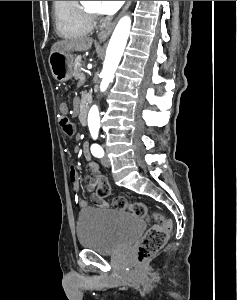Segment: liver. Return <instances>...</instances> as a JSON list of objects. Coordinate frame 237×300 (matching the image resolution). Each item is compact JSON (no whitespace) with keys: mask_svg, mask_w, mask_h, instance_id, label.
I'll use <instances>...</instances> for the list:
<instances>
[{"mask_svg":"<svg viewBox=\"0 0 237 300\" xmlns=\"http://www.w3.org/2000/svg\"><path fill=\"white\" fill-rule=\"evenodd\" d=\"M93 39L91 37H83V39H75V41H58L51 47V53H73V51H89L91 49Z\"/></svg>","mask_w":237,"mask_h":300,"instance_id":"6515ba94","label":"liver"}]
</instances>
